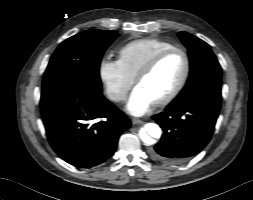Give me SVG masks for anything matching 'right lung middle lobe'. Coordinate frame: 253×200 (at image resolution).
<instances>
[{
	"mask_svg": "<svg viewBox=\"0 0 253 200\" xmlns=\"http://www.w3.org/2000/svg\"><path fill=\"white\" fill-rule=\"evenodd\" d=\"M117 37L116 31L88 30L63 41L49 61L42 89L76 86L101 94V58Z\"/></svg>",
	"mask_w": 253,
	"mask_h": 200,
	"instance_id": "right-lung-middle-lobe-1",
	"label": "right lung middle lobe"
}]
</instances>
